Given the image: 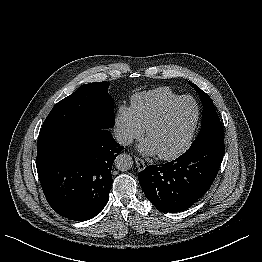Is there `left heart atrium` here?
Returning <instances> with one entry per match:
<instances>
[{"label": "left heart atrium", "instance_id": "obj_1", "mask_svg": "<svg viewBox=\"0 0 262 262\" xmlns=\"http://www.w3.org/2000/svg\"><path fill=\"white\" fill-rule=\"evenodd\" d=\"M138 150L144 155H156L158 154L157 148L154 143L148 138L143 141L139 146Z\"/></svg>", "mask_w": 262, "mask_h": 262}]
</instances>
